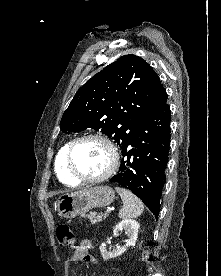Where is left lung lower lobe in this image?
<instances>
[{
  "instance_id": "left-lung-lower-lobe-1",
  "label": "left lung lower lobe",
  "mask_w": 221,
  "mask_h": 276,
  "mask_svg": "<svg viewBox=\"0 0 221 276\" xmlns=\"http://www.w3.org/2000/svg\"><path fill=\"white\" fill-rule=\"evenodd\" d=\"M171 111L163 105L122 148L119 172L110 181L131 190L158 218L170 146Z\"/></svg>"
}]
</instances>
